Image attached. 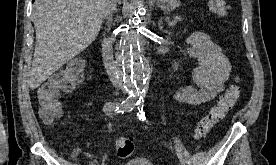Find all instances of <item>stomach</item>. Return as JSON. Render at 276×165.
I'll return each mask as SVG.
<instances>
[{
    "instance_id": "stomach-1",
    "label": "stomach",
    "mask_w": 276,
    "mask_h": 165,
    "mask_svg": "<svg viewBox=\"0 0 276 165\" xmlns=\"http://www.w3.org/2000/svg\"><path fill=\"white\" fill-rule=\"evenodd\" d=\"M157 4L162 10H174L179 6L178 0H157Z\"/></svg>"
}]
</instances>
